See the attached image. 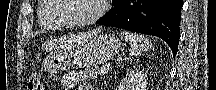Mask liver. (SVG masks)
I'll return each instance as SVG.
<instances>
[{"label":"liver","instance_id":"1","mask_svg":"<svg viewBox=\"0 0 216 90\" xmlns=\"http://www.w3.org/2000/svg\"><path fill=\"white\" fill-rule=\"evenodd\" d=\"M78 40H82V36H75V38H72V42H78Z\"/></svg>","mask_w":216,"mask_h":90}]
</instances>
